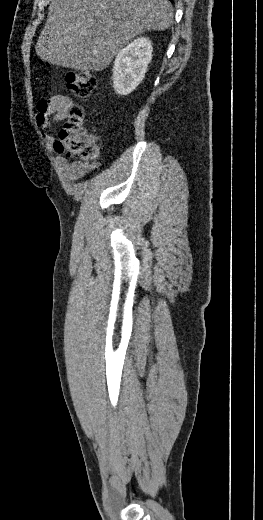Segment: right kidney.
<instances>
[{"mask_svg": "<svg viewBox=\"0 0 263 520\" xmlns=\"http://www.w3.org/2000/svg\"><path fill=\"white\" fill-rule=\"evenodd\" d=\"M152 51L150 40L140 37L118 53L113 67V87L117 94L128 95L140 84L152 59Z\"/></svg>", "mask_w": 263, "mask_h": 520, "instance_id": "1", "label": "right kidney"}]
</instances>
